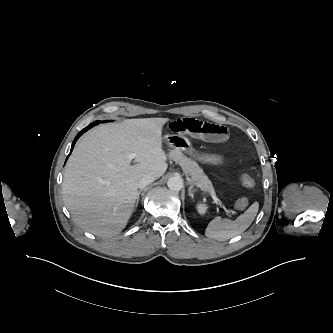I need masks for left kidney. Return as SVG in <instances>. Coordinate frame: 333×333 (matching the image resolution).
<instances>
[{
  "instance_id": "5707ae66",
  "label": "left kidney",
  "mask_w": 333,
  "mask_h": 333,
  "mask_svg": "<svg viewBox=\"0 0 333 333\" xmlns=\"http://www.w3.org/2000/svg\"><path fill=\"white\" fill-rule=\"evenodd\" d=\"M207 205L206 204H198L197 205V210H198V212H199V214H201V215H204L205 213H206V211H207Z\"/></svg>"
}]
</instances>
